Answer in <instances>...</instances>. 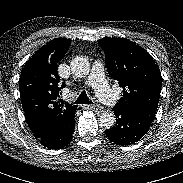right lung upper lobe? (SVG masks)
<instances>
[{
    "label": "right lung upper lobe",
    "instance_id": "obj_1",
    "mask_svg": "<svg viewBox=\"0 0 183 183\" xmlns=\"http://www.w3.org/2000/svg\"><path fill=\"white\" fill-rule=\"evenodd\" d=\"M70 46L67 38L46 43L24 65L19 89L25 119L33 132L41 126L65 128L74 122L75 105L59 99L65 84L59 83L57 63Z\"/></svg>",
    "mask_w": 183,
    "mask_h": 183
}]
</instances>
